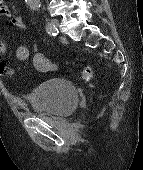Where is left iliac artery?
Masks as SVG:
<instances>
[{
    "mask_svg": "<svg viewBox=\"0 0 143 170\" xmlns=\"http://www.w3.org/2000/svg\"><path fill=\"white\" fill-rule=\"evenodd\" d=\"M46 31L53 36H56L59 32L57 27L55 25L50 24V23L47 24Z\"/></svg>",
    "mask_w": 143,
    "mask_h": 170,
    "instance_id": "1",
    "label": "left iliac artery"
}]
</instances>
